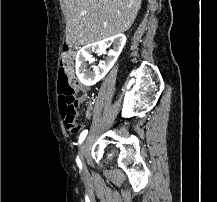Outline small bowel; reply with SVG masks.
Here are the masks:
<instances>
[{
	"instance_id": "obj_1",
	"label": "small bowel",
	"mask_w": 217,
	"mask_h": 202,
	"mask_svg": "<svg viewBox=\"0 0 217 202\" xmlns=\"http://www.w3.org/2000/svg\"><path fill=\"white\" fill-rule=\"evenodd\" d=\"M72 79H74L76 89H77L78 91H82V90H83L82 85L79 84V83L76 81V78H75V76H74L73 74H72ZM83 99H84V98L81 97V98L79 99V102H82ZM85 116H86V118H91V117L93 116V105H92L91 102H89V104H88V108H87V110H86V112H85ZM80 127H82V125H80Z\"/></svg>"
}]
</instances>
